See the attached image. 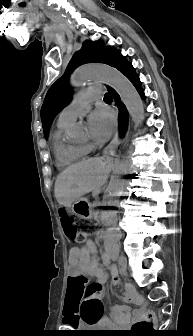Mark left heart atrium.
<instances>
[{"label": "left heart atrium", "instance_id": "39dd6f15", "mask_svg": "<svg viewBox=\"0 0 193 336\" xmlns=\"http://www.w3.org/2000/svg\"><path fill=\"white\" fill-rule=\"evenodd\" d=\"M90 136L97 142L106 141L115 128V119L112 113L104 108L93 111L88 117Z\"/></svg>", "mask_w": 193, "mask_h": 336}]
</instances>
